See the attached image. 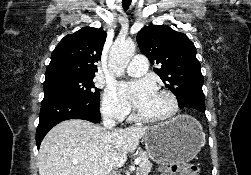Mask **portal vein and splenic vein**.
Returning <instances> with one entry per match:
<instances>
[{
    "label": "portal vein and splenic vein",
    "instance_id": "1",
    "mask_svg": "<svg viewBox=\"0 0 251 175\" xmlns=\"http://www.w3.org/2000/svg\"><path fill=\"white\" fill-rule=\"evenodd\" d=\"M135 163H139V159H135ZM85 175H90V173H85Z\"/></svg>",
    "mask_w": 251,
    "mask_h": 175
}]
</instances>
